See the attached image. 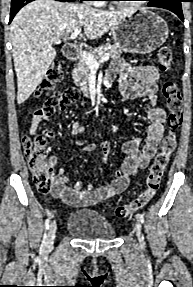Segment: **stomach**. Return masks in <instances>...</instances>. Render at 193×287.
<instances>
[{"mask_svg": "<svg viewBox=\"0 0 193 287\" xmlns=\"http://www.w3.org/2000/svg\"><path fill=\"white\" fill-rule=\"evenodd\" d=\"M114 44L126 53L148 54L159 48L168 38L167 23L157 14L138 10L125 17L112 30Z\"/></svg>", "mask_w": 193, "mask_h": 287, "instance_id": "1", "label": "stomach"}]
</instances>
